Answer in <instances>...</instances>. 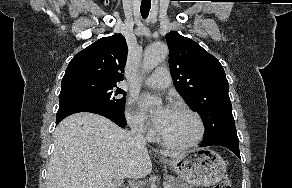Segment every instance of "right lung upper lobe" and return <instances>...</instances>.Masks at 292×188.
Returning <instances> with one entry per match:
<instances>
[{"label":"right lung upper lobe","instance_id":"right-lung-upper-lobe-1","mask_svg":"<svg viewBox=\"0 0 292 188\" xmlns=\"http://www.w3.org/2000/svg\"><path fill=\"white\" fill-rule=\"evenodd\" d=\"M127 52L122 34L103 37L74 56L62 80L86 77L118 83L123 80Z\"/></svg>","mask_w":292,"mask_h":188}]
</instances>
